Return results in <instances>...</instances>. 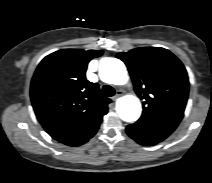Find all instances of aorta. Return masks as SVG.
Returning <instances> with one entry per match:
<instances>
[{
	"mask_svg": "<svg viewBox=\"0 0 212 183\" xmlns=\"http://www.w3.org/2000/svg\"><path fill=\"white\" fill-rule=\"evenodd\" d=\"M100 79L106 83L123 85L128 80L124 63L116 58H103L99 66ZM116 110L123 121L134 122L141 115V103L135 96H125L118 100Z\"/></svg>",
	"mask_w": 212,
	"mask_h": 183,
	"instance_id": "aorta-1",
	"label": "aorta"
}]
</instances>
